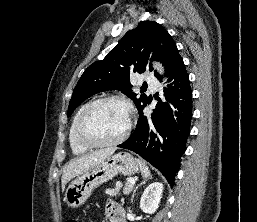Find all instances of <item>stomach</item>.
<instances>
[{
	"label": "stomach",
	"instance_id": "obj_1",
	"mask_svg": "<svg viewBox=\"0 0 257 222\" xmlns=\"http://www.w3.org/2000/svg\"><path fill=\"white\" fill-rule=\"evenodd\" d=\"M140 170L138 161L129 153L107 157L88 171L78 175L65 191L64 201L71 208L84 204L93 190L118 174L131 176Z\"/></svg>",
	"mask_w": 257,
	"mask_h": 222
}]
</instances>
